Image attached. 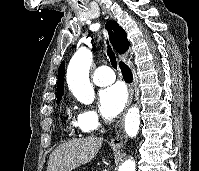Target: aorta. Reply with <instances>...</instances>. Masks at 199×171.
Masks as SVG:
<instances>
[{
  "label": "aorta",
  "mask_w": 199,
  "mask_h": 171,
  "mask_svg": "<svg viewBox=\"0 0 199 171\" xmlns=\"http://www.w3.org/2000/svg\"><path fill=\"white\" fill-rule=\"evenodd\" d=\"M92 53L85 49H79L68 65L67 83L73 95L83 104H91L95 93L89 81V70L92 64ZM140 125V113L137 106L131 107L125 117V131L129 137H135ZM119 171H135V162L126 160Z\"/></svg>",
  "instance_id": "aorta-1"
}]
</instances>
